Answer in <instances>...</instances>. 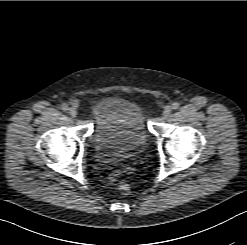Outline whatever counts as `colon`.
<instances>
[{"label":"colon","mask_w":247,"mask_h":245,"mask_svg":"<svg viewBox=\"0 0 247 245\" xmlns=\"http://www.w3.org/2000/svg\"><path fill=\"white\" fill-rule=\"evenodd\" d=\"M118 189L122 194H128L131 191L130 185L126 182H121L118 185Z\"/></svg>","instance_id":"obj_1"}]
</instances>
